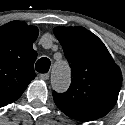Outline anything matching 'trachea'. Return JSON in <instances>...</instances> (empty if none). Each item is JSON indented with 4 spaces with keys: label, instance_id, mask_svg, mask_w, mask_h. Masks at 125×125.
<instances>
[{
    "label": "trachea",
    "instance_id": "3493384b",
    "mask_svg": "<svg viewBox=\"0 0 125 125\" xmlns=\"http://www.w3.org/2000/svg\"><path fill=\"white\" fill-rule=\"evenodd\" d=\"M50 65V60L46 57H42L37 61L35 70L39 73H47L50 69Z\"/></svg>",
    "mask_w": 125,
    "mask_h": 125
}]
</instances>
